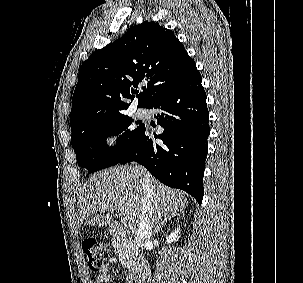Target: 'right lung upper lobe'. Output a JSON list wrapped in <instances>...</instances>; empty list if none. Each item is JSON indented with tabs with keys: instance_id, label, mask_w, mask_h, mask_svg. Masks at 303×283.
Masks as SVG:
<instances>
[{
	"instance_id": "cb5924a9",
	"label": "right lung upper lobe",
	"mask_w": 303,
	"mask_h": 283,
	"mask_svg": "<svg viewBox=\"0 0 303 283\" xmlns=\"http://www.w3.org/2000/svg\"><path fill=\"white\" fill-rule=\"evenodd\" d=\"M198 73L195 61L171 30L153 21L134 26L82 64L72 98V134L123 116L130 105L126 100L137 97L138 107L146 108ZM141 82L147 88L139 93L136 88Z\"/></svg>"
}]
</instances>
